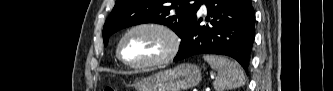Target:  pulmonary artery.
<instances>
[{"instance_id": "e3ab8cb5", "label": "pulmonary artery", "mask_w": 333, "mask_h": 91, "mask_svg": "<svg viewBox=\"0 0 333 91\" xmlns=\"http://www.w3.org/2000/svg\"><path fill=\"white\" fill-rule=\"evenodd\" d=\"M205 10H206L205 6H202V11H205Z\"/></svg>"}]
</instances>
